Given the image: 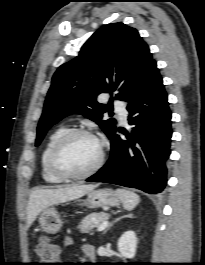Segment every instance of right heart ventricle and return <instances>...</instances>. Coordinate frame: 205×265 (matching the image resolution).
Listing matches in <instances>:
<instances>
[{"label":"right heart ventricle","instance_id":"e07e8e85","mask_svg":"<svg viewBox=\"0 0 205 265\" xmlns=\"http://www.w3.org/2000/svg\"><path fill=\"white\" fill-rule=\"evenodd\" d=\"M69 129L66 126H60L58 128H56L55 130H53L47 140L46 143L44 145L42 154H41V174H42V178L45 182L50 183V184H58L61 183L63 180H61L60 178L56 177L49 169L48 167V154L49 151L51 149V147L53 146V144L56 142V140L63 135L66 131H68Z\"/></svg>","mask_w":205,"mask_h":265}]
</instances>
